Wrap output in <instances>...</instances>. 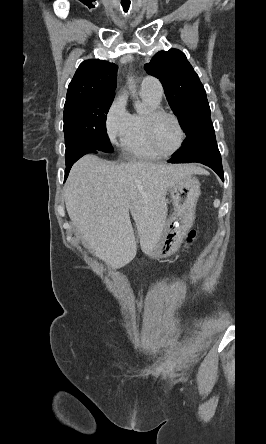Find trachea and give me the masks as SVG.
<instances>
[{
	"label": "trachea",
	"mask_w": 266,
	"mask_h": 444,
	"mask_svg": "<svg viewBox=\"0 0 266 444\" xmlns=\"http://www.w3.org/2000/svg\"><path fill=\"white\" fill-rule=\"evenodd\" d=\"M121 4L123 6L124 11L127 12L129 9V6H130V2L129 3H121Z\"/></svg>",
	"instance_id": "3493384b"
}]
</instances>
